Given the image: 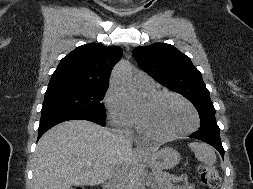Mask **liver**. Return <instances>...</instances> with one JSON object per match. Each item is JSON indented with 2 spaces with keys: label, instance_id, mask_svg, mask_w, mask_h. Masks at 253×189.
I'll use <instances>...</instances> for the list:
<instances>
[{
  "label": "liver",
  "instance_id": "liver-1",
  "mask_svg": "<svg viewBox=\"0 0 253 189\" xmlns=\"http://www.w3.org/2000/svg\"><path fill=\"white\" fill-rule=\"evenodd\" d=\"M134 158L132 149L120 147L106 128L86 120L66 121L40 138L33 157V186L70 189L103 184L114 166L128 168Z\"/></svg>",
  "mask_w": 253,
  "mask_h": 189
}]
</instances>
